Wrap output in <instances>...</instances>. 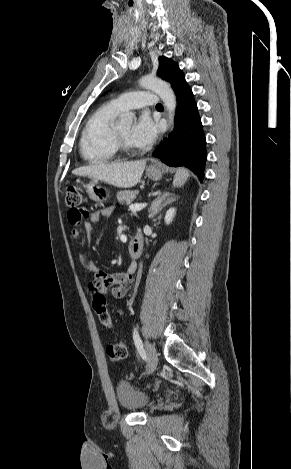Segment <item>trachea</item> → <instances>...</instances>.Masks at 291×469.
I'll list each match as a JSON object with an SVG mask.
<instances>
[{
	"mask_svg": "<svg viewBox=\"0 0 291 469\" xmlns=\"http://www.w3.org/2000/svg\"><path fill=\"white\" fill-rule=\"evenodd\" d=\"M156 107H157V108H162L163 105H162V104H157Z\"/></svg>",
	"mask_w": 291,
	"mask_h": 469,
	"instance_id": "trachea-1",
	"label": "trachea"
}]
</instances>
